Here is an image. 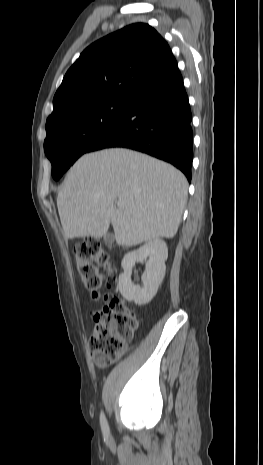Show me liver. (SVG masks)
<instances>
[{
  "mask_svg": "<svg viewBox=\"0 0 263 465\" xmlns=\"http://www.w3.org/2000/svg\"><path fill=\"white\" fill-rule=\"evenodd\" d=\"M188 183L175 167L123 148L83 155L68 172L57 208L67 239L102 237L113 226L119 246L177 233ZM121 202L122 207H116Z\"/></svg>",
  "mask_w": 263,
  "mask_h": 465,
  "instance_id": "6515ba94",
  "label": "liver"
}]
</instances>
